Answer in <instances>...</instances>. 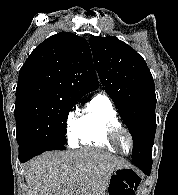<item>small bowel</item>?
<instances>
[{
	"instance_id": "small-bowel-1",
	"label": "small bowel",
	"mask_w": 178,
	"mask_h": 195,
	"mask_svg": "<svg viewBox=\"0 0 178 195\" xmlns=\"http://www.w3.org/2000/svg\"><path fill=\"white\" fill-rule=\"evenodd\" d=\"M118 193L119 194H117V195H134L131 192H129L128 190H126L125 188H122Z\"/></svg>"
}]
</instances>
